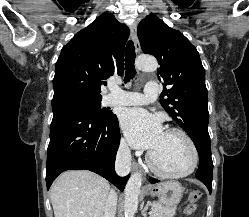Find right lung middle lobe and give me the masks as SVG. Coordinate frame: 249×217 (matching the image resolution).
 <instances>
[{
	"instance_id": "right-lung-middle-lobe-1",
	"label": "right lung middle lobe",
	"mask_w": 249,
	"mask_h": 217,
	"mask_svg": "<svg viewBox=\"0 0 249 217\" xmlns=\"http://www.w3.org/2000/svg\"><path fill=\"white\" fill-rule=\"evenodd\" d=\"M67 99L84 107L92 116L100 120H109L115 117L112 112L100 108L101 99L76 91H66L55 94L53 100Z\"/></svg>"
}]
</instances>
